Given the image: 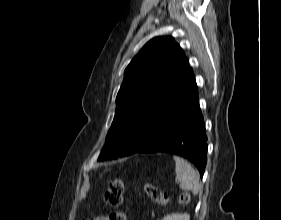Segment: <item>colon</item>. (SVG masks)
I'll use <instances>...</instances> for the list:
<instances>
[{"label":"colon","instance_id":"colon-1","mask_svg":"<svg viewBox=\"0 0 281 220\" xmlns=\"http://www.w3.org/2000/svg\"><path fill=\"white\" fill-rule=\"evenodd\" d=\"M145 191L150 199L158 204L165 205L168 202V196L161 189L153 184L147 183ZM124 182L122 178L112 180L104 195L105 203L111 208L108 220H126L125 213L120 210L123 202ZM189 193L180 194L178 201L180 204H187L190 201Z\"/></svg>","mask_w":281,"mask_h":220}]
</instances>
